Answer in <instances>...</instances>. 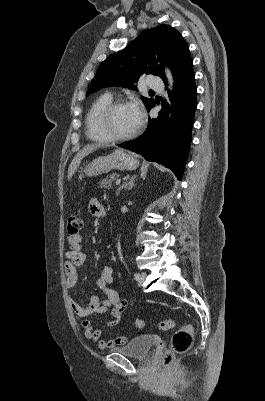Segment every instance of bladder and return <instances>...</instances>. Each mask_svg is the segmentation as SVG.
<instances>
[{
    "mask_svg": "<svg viewBox=\"0 0 265 401\" xmlns=\"http://www.w3.org/2000/svg\"><path fill=\"white\" fill-rule=\"evenodd\" d=\"M154 345L155 340L153 337L142 335L133 337V339L124 346L110 348V350L122 352L125 356L144 358L147 357L149 350Z\"/></svg>",
    "mask_w": 265,
    "mask_h": 401,
    "instance_id": "31cf9c89",
    "label": "bladder"
}]
</instances>
